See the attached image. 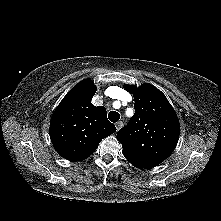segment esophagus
<instances>
[{
  "label": "esophagus",
  "instance_id": "34e87169",
  "mask_svg": "<svg viewBox=\"0 0 221 221\" xmlns=\"http://www.w3.org/2000/svg\"><path fill=\"white\" fill-rule=\"evenodd\" d=\"M122 126H123V122H122V121L117 122V123H116V129H117V131H119V130L122 128Z\"/></svg>",
  "mask_w": 221,
  "mask_h": 221
}]
</instances>
